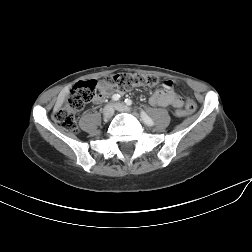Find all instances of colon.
Segmentation results:
<instances>
[{
    "instance_id": "colon-1",
    "label": "colon",
    "mask_w": 252,
    "mask_h": 252,
    "mask_svg": "<svg viewBox=\"0 0 252 252\" xmlns=\"http://www.w3.org/2000/svg\"><path fill=\"white\" fill-rule=\"evenodd\" d=\"M159 82V78L155 75L131 72L110 74L103 80V83L107 87H110L118 92H125L134 86L140 85L154 87L158 85ZM164 84L174 86L173 82L169 81H165ZM97 87L98 84L95 80L81 81L77 83L70 90L64 104L54 111L53 119L55 123L65 131L76 133L78 128L75 120V114L80 111L86 103L96 98ZM195 109L196 102L193 99L188 98L186 101L187 113H192Z\"/></svg>"
}]
</instances>
